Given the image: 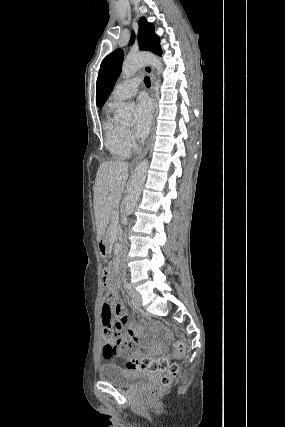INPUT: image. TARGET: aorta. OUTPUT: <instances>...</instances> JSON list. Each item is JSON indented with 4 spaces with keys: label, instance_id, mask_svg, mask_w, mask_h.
Segmentation results:
<instances>
[{
    "label": "aorta",
    "instance_id": "762f6f07",
    "mask_svg": "<svg viewBox=\"0 0 285 427\" xmlns=\"http://www.w3.org/2000/svg\"><path fill=\"white\" fill-rule=\"evenodd\" d=\"M152 65L158 74L162 72L163 66L160 59L151 54L139 52L135 54H130L126 57L122 65L121 75L123 78H130L133 76L139 69H141L145 64ZM133 113V106L129 103H123L119 112V117L123 119H128ZM149 162L147 159L141 161L136 167L132 180L127 189V198L125 205L126 215L132 214L142 191L147 171H148Z\"/></svg>",
    "mask_w": 285,
    "mask_h": 427
}]
</instances>
